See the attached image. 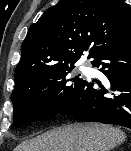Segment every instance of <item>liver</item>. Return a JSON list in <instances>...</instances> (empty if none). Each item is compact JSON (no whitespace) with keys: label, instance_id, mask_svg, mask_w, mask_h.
I'll return each mask as SVG.
<instances>
[{"label":"liver","instance_id":"6515ba94","mask_svg":"<svg viewBox=\"0 0 131 151\" xmlns=\"http://www.w3.org/2000/svg\"><path fill=\"white\" fill-rule=\"evenodd\" d=\"M125 139V133L118 128L75 123L23 142L15 151H110Z\"/></svg>","mask_w":131,"mask_h":151}]
</instances>
